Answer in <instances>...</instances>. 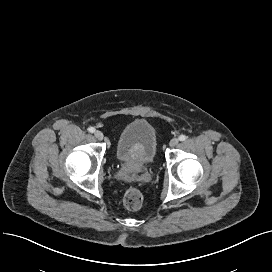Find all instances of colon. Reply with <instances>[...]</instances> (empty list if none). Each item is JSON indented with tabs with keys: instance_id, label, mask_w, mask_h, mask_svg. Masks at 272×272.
Returning a JSON list of instances; mask_svg holds the SVG:
<instances>
[{
	"instance_id": "1",
	"label": "colon",
	"mask_w": 272,
	"mask_h": 272,
	"mask_svg": "<svg viewBox=\"0 0 272 272\" xmlns=\"http://www.w3.org/2000/svg\"><path fill=\"white\" fill-rule=\"evenodd\" d=\"M124 205L129 210H137L141 207L143 202V195L137 188H129L124 195Z\"/></svg>"
}]
</instances>
